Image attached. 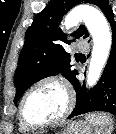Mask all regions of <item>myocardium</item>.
Returning <instances> with one entry per match:
<instances>
[{"instance_id": "f54148a6", "label": "myocardium", "mask_w": 116, "mask_h": 134, "mask_svg": "<svg viewBox=\"0 0 116 134\" xmlns=\"http://www.w3.org/2000/svg\"><path fill=\"white\" fill-rule=\"evenodd\" d=\"M48 83H54L59 85L65 92L66 98H67V103L64 111L56 118L42 122V123H33L26 119L24 115V104L27 96L37 87L48 84ZM75 103V96L72 88L70 85L61 77L57 76H47L44 78L39 79L35 83H33L23 94L21 97L20 103H19V120L21 121L22 124H24L26 127L30 129H41V128H46L50 126L57 125L61 122H63L71 113Z\"/></svg>"}]
</instances>
